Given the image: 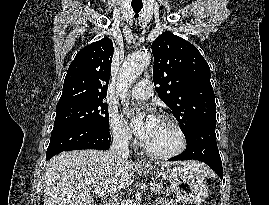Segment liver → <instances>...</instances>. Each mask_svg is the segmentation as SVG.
Masks as SVG:
<instances>
[{
	"mask_svg": "<svg viewBox=\"0 0 269 205\" xmlns=\"http://www.w3.org/2000/svg\"><path fill=\"white\" fill-rule=\"evenodd\" d=\"M161 170L182 166L201 176L208 168L196 161L156 163ZM134 181V166L125 160L117 163L108 152L78 150L53 157L46 167L43 205H94L93 189L104 190L110 197Z\"/></svg>",
	"mask_w": 269,
	"mask_h": 205,
	"instance_id": "1",
	"label": "liver"
}]
</instances>
